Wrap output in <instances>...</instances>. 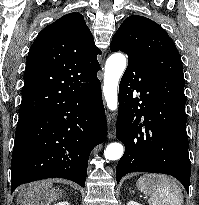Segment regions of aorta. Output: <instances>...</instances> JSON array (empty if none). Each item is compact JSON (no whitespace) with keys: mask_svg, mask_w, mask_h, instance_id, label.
<instances>
[{"mask_svg":"<svg viewBox=\"0 0 199 205\" xmlns=\"http://www.w3.org/2000/svg\"><path fill=\"white\" fill-rule=\"evenodd\" d=\"M126 68V58L121 53L112 54L106 61L103 95L107 107L114 111L118 106V84ZM124 152L123 145L120 143H111L104 151V156L108 160L119 159Z\"/></svg>","mask_w":199,"mask_h":205,"instance_id":"obj_1","label":"aorta"}]
</instances>
